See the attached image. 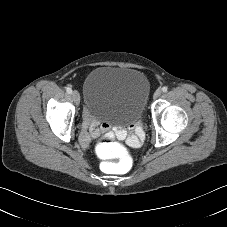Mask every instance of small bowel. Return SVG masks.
<instances>
[{
	"label": "small bowel",
	"instance_id": "1",
	"mask_svg": "<svg viewBox=\"0 0 227 227\" xmlns=\"http://www.w3.org/2000/svg\"><path fill=\"white\" fill-rule=\"evenodd\" d=\"M98 126L99 123L93 118L91 111L86 110L83 118L82 131L79 135V142L82 146L88 148L92 138H96L99 135ZM139 133L136 135L129 134L126 128H120L117 131V136L127 145L137 147L142 140Z\"/></svg>",
	"mask_w": 227,
	"mask_h": 227
}]
</instances>
